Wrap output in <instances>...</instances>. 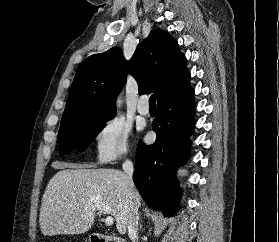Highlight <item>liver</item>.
<instances>
[{"label": "liver", "instance_id": "liver-1", "mask_svg": "<svg viewBox=\"0 0 279 242\" xmlns=\"http://www.w3.org/2000/svg\"><path fill=\"white\" fill-rule=\"evenodd\" d=\"M60 168L42 198L39 215L42 234L85 233L93 225L98 210L113 216L118 232L124 235L130 212L128 176L114 169H89L73 164H62ZM134 196L139 208L141 200L135 188Z\"/></svg>", "mask_w": 279, "mask_h": 242}]
</instances>
